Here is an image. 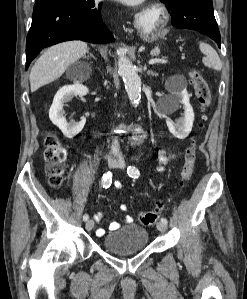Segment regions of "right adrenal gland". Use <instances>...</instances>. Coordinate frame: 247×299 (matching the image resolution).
Wrapping results in <instances>:
<instances>
[{"label":"right adrenal gland","mask_w":247,"mask_h":299,"mask_svg":"<svg viewBox=\"0 0 247 299\" xmlns=\"http://www.w3.org/2000/svg\"><path fill=\"white\" fill-rule=\"evenodd\" d=\"M87 57H88V58H89V57H92L93 59L96 60V57H95L92 53H89V55H88Z\"/></svg>","instance_id":"1"}]
</instances>
